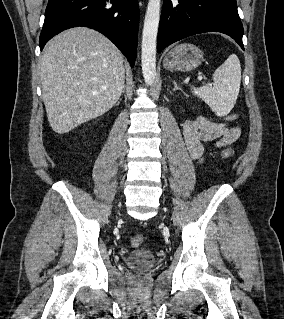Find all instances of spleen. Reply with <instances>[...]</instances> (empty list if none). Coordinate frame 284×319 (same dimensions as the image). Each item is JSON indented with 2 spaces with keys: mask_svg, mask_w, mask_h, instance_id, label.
Listing matches in <instances>:
<instances>
[{
  "mask_svg": "<svg viewBox=\"0 0 284 319\" xmlns=\"http://www.w3.org/2000/svg\"><path fill=\"white\" fill-rule=\"evenodd\" d=\"M213 85L192 88V92L202 99L217 116L230 113L239 94L241 65L235 54H231L212 76Z\"/></svg>",
  "mask_w": 284,
  "mask_h": 319,
  "instance_id": "1",
  "label": "spleen"
}]
</instances>
